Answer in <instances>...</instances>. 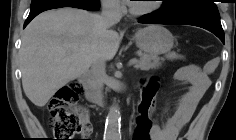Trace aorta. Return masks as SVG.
<instances>
[{"instance_id":"1","label":"aorta","mask_w":236,"mask_h":140,"mask_svg":"<svg viewBox=\"0 0 236 140\" xmlns=\"http://www.w3.org/2000/svg\"><path fill=\"white\" fill-rule=\"evenodd\" d=\"M120 108L117 104L110 107L105 124V138L107 140H119L120 134Z\"/></svg>"}]
</instances>
